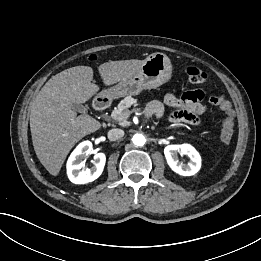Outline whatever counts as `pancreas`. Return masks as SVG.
I'll return each instance as SVG.
<instances>
[{
  "label": "pancreas",
  "instance_id": "cf45deb5",
  "mask_svg": "<svg viewBox=\"0 0 261 261\" xmlns=\"http://www.w3.org/2000/svg\"><path fill=\"white\" fill-rule=\"evenodd\" d=\"M132 105H137V99L128 96L120 101L117 109L112 112V118L119 121V124L125 126L127 124V117L130 115V110L128 109Z\"/></svg>",
  "mask_w": 261,
  "mask_h": 261
}]
</instances>
